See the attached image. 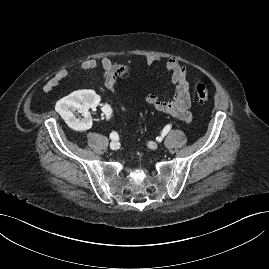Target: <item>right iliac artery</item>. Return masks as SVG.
I'll return each instance as SVG.
<instances>
[{
  "label": "right iliac artery",
  "instance_id": "right-iliac-artery-1",
  "mask_svg": "<svg viewBox=\"0 0 269 269\" xmlns=\"http://www.w3.org/2000/svg\"><path fill=\"white\" fill-rule=\"evenodd\" d=\"M110 138H111L112 140H118V139H119V135H118L117 132H112V133L110 134Z\"/></svg>",
  "mask_w": 269,
  "mask_h": 269
}]
</instances>
